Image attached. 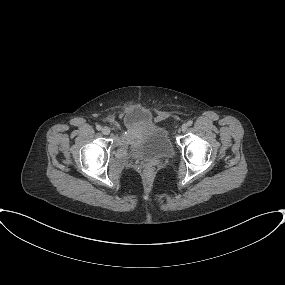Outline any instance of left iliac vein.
<instances>
[{"instance_id": "obj_1", "label": "left iliac vein", "mask_w": 285, "mask_h": 285, "mask_svg": "<svg viewBox=\"0 0 285 285\" xmlns=\"http://www.w3.org/2000/svg\"><path fill=\"white\" fill-rule=\"evenodd\" d=\"M187 129H188V125H187V124H183V125L181 126V130H182L183 132H185Z\"/></svg>"}]
</instances>
